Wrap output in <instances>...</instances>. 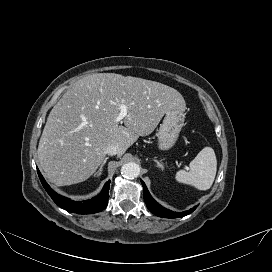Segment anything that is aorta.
Segmentation results:
<instances>
[{
    "label": "aorta",
    "instance_id": "762f6f07",
    "mask_svg": "<svg viewBox=\"0 0 272 272\" xmlns=\"http://www.w3.org/2000/svg\"><path fill=\"white\" fill-rule=\"evenodd\" d=\"M121 174L128 179H134L140 174V166L135 162H128L121 167Z\"/></svg>",
    "mask_w": 272,
    "mask_h": 272
}]
</instances>
